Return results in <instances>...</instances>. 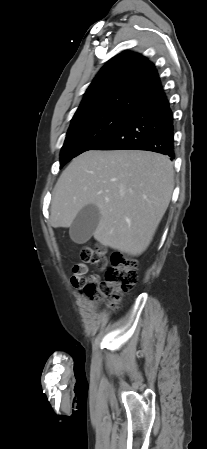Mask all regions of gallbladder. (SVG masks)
Listing matches in <instances>:
<instances>
[{
	"mask_svg": "<svg viewBox=\"0 0 207 449\" xmlns=\"http://www.w3.org/2000/svg\"><path fill=\"white\" fill-rule=\"evenodd\" d=\"M100 217V211L97 206L92 204L84 206L70 226L69 234L71 239L78 244L86 243L96 229Z\"/></svg>",
	"mask_w": 207,
	"mask_h": 449,
	"instance_id": "1",
	"label": "gallbladder"
}]
</instances>
